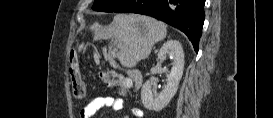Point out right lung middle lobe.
I'll return each mask as SVG.
<instances>
[{"label": "right lung middle lobe", "instance_id": "right-lung-middle-lobe-1", "mask_svg": "<svg viewBox=\"0 0 273 118\" xmlns=\"http://www.w3.org/2000/svg\"><path fill=\"white\" fill-rule=\"evenodd\" d=\"M130 0H95L92 9L102 12H116Z\"/></svg>", "mask_w": 273, "mask_h": 118}]
</instances>
